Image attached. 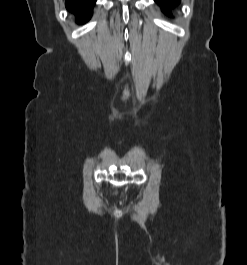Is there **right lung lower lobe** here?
Returning <instances> with one entry per match:
<instances>
[{
	"instance_id": "98d812e1",
	"label": "right lung lower lobe",
	"mask_w": 247,
	"mask_h": 265,
	"mask_svg": "<svg viewBox=\"0 0 247 265\" xmlns=\"http://www.w3.org/2000/svg\"><path fill=\"white\" fill-rule=\"evenodd\" d=\"M96 0H66V8L74 13L78 23L88 21Z\"/></svg>"
}]
</instances>
